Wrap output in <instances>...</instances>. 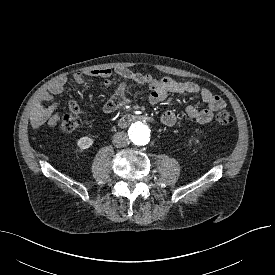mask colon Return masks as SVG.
Here are the masks:
<instances>
[{"label": "colon", "instance_id": "5ec220e1", "mask_svg": "<svg viewBox=\"0 0 275 275\" xmlns=\"http://www.w3.org/2000/svg\"><path fill=\"white\" fill-rule=\"evenodd\" d=\"M231 113L226 110H220L216 115V121L221 125H228L232 122ZM83 123V114L78 112H69L65 114L60 122L59 129L63 133H70L77 130Z\"/></svg>", "mask_w": 275, "mask_h": 275}]
</instances>
